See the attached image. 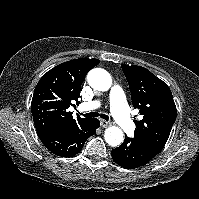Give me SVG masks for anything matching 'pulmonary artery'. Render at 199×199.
<instances>
[{
    "label": "pulmonary artery",
    "mask_w": 199,
    "mask_h": 199,
    "mask_svg": "<svg viewBox=\"0 0 199 199\" xmlns=\"http://www.w3.org/2000/svg\"><path fill=\"white\" fill-rule=\"evenodd\" d=\"M100 106L97 100L84 103L81 109L84 111L94 110ZM110 108L119 126L124 131H131L134 128V122L130 117L123 90L118 85H113L110 88Z\"/></svg>",
    "instance_id": "obj_1"
}]
</instances>
